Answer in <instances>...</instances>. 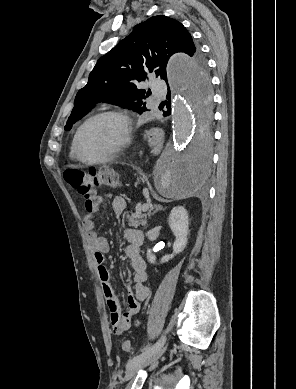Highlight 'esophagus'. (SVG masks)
Returning <instances> with one entry per match:
<instances>
[{
  "label": "esophagus",
  "instance_id": "34e87169",
  "mask_svg": "<svg viewBox=\"0 0 296 389\" xmlns=\"http://www.w3.org/2000/svg\"><path fill=\"white\" fill-rule=\"evenodd\" d=\"M153 126H154V127H157V126H158V123H157V122H154V123H153Z\"/></svg>",
  "mask_w": 296,
  "mask_h": 389
}]
</instances>
